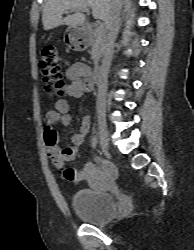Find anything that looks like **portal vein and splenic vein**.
<instances>
[{
  "label": "portal vein and splenic vein",
  "instance_id": "1",
  "mask_svg": "<svg viewBox=\"0 0 194 250\" xmlns=\"http://www.w3.org/2000/svg\"><path fill=\"white\" fill-rule=\"evenodd\" d=\"M89 9L88 8H84L82 10H71V11H66L65 13L68 14V13H71V12H75V14H78L80 12H86V13H89ZM98 29H103V25L101 23H98Z\"/></svg>",
  "mask_w": 194,
  "mask_h": 250
}]
</instances>
